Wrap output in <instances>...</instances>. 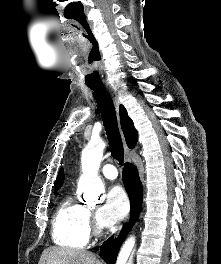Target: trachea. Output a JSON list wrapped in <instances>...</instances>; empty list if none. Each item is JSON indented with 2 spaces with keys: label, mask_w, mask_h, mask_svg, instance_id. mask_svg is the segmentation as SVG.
<instances>
[{
  "label": "trachea",
  "mask_w": 221,
  "mask_h": 264,
  "mask_svg": "<svg viewBox=\"0 0 221 264\" xmlns=\"http://www.w3.org/2000/svg\"><path fill=\"white\" fill-rule=\"evenodd\" d=\"M89 88L92 89L93 96L100 108L102 121L109 141L111 155L119 162L120 165H123V143L111 97L103 85H89Z\"/></svg>",
  "instance_id": "obj_1"
}]
</instances>
